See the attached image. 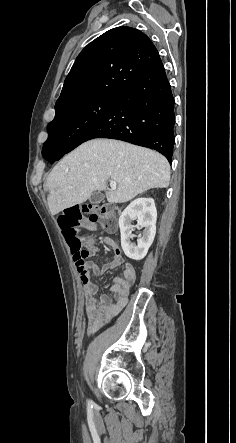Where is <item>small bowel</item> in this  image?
<instances>
[{"label": "small bowel", "mask_w": 236, "mask_h": 443, "mask_svg": "<svg viewBox=\"0 0 236 443\" xmlns=\"http://www.w3.org/2000/svg\"><path fill=\"white\" fill-rule=\"evenodd\" d=\"M103 242L115 247V242L105 237ZM91 254L97 253L95 241L90 239L86 243ZM123 267L122 277H114L110 287L113 297L107 295L98 296V286L92 281L91 275L100 276L109 270ZM82 290L84 294V309L87 317V330L89 334L97 332L110 321L126 305L131 288L136 280L135 266L126 260L118 249L115 250L113 259L103 265L95 262H87L79 266L75 264Z\"/></svg>", "instance_id": "1"}]
</instances>
